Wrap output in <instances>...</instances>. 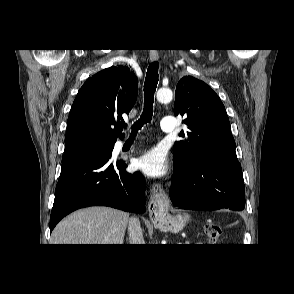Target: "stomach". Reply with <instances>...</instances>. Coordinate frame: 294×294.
<instances>
[{"mask_svg": "<svg viewBox=\"0 0 294 294\" xmlns=\"http://www.w3.org/2000/svg\"><path fill=\"white\" fill-rule=\"evenodd\" d=\"M189 219L188 215H171L164 213L160 220V227H163L171 232H178L186 224V221Z\"/></svg>", "mask_w": 294, "mask_h": 294, "instance_id": "obj_1", "label": "stomach"}]
</instances>
